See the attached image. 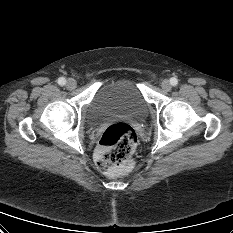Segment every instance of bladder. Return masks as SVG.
Masks as SVG:
<instances>
[{
    "label": "bladder",
    "mask_w": 233,
    "mask_h": 233,
    "mask_svg": "<svg viewBox=\"0 0 233 233\" xmlns=\"http://www.w3.org/2000/svg\"><path fill=\"white\" fill-rule=\"evenodd\" d=\"M149 111L141 81L126 75L106 81L95 92L86 109V120L94 126L113 117L143 119Z\"/></svg>",
    "instance_id": "obj_1"
}]
</instances>
